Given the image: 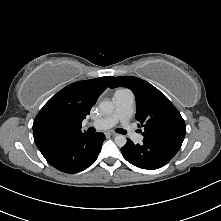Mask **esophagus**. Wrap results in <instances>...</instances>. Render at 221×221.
<instances>
[{
    "instance_id": "obj_1",
    "label": "esophagus",
    "mask_w": 221,
    "mask_h": 221,
    "mask_svg": "<svg viewBox=\"0 0 221 221\" xmlns=\"http://www.w3.org/2000/svg\"><path fill=\"white\" fill-rule=\"evenodd\" d=\"M107 134L110 136H117V133H115V132H107Z\"/></svg>"
}]
</instances>
